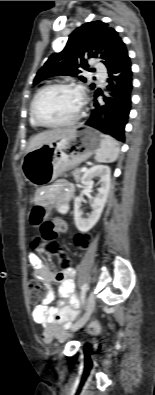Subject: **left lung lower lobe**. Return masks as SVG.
Masks as SVG:
<instances>
[{
    "instance_id": "1",
    "label": "left lung lower lobe",
    "mask_w": 155,
    "mask_h": 395,
    "mask_svg": "<svg viewBox=\"0 0 155 395\" xmlns=\"http://www.w3.org/2000/svg\"><path fill=\"white\" fill-rule=\"evenodd\" d=\"M109 86L107 90L113 98L104 97L106 105H100L97 97L102 95L100 90L94 92V109L86 125L94 127L117 140H125V125L131 110L132 70L131 61L126 55L117 65L108 69ZM117 74L113 76V74ZM113 80L116 82L114 85ZM104 114V118L101 116Z\"/></svg>"
}]
</instances>
